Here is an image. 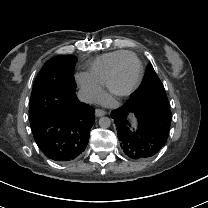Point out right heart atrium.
Returning <instances> with one entry per match:
<instances>
[{
    "instance_id": "1",
    "label": "right heart atrium",
    "mask_w": 208,
    "mask_h": 208,
    "mask_svg": "<svg viewBox=\"0 0 208 208\" xmlns=\"http://www.w3.org/2000/svg\"><path fill=\"white\" fill-rule=\"evenodd\" d=\"M77 81L87 97L92 101H99L104 97V92L87 74H78Z\"/></svg>"
}]
</instances>
